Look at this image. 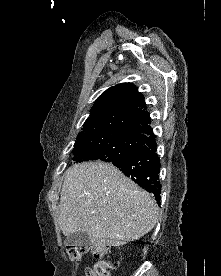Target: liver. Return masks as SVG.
<instances>
[{
	"mask_svg": "<svg viewBox=\"0 0 221 276\" xmlns=\"http://www.w3.org/2000/svg\"><path fill=\"white\" fill-rule=\"evenodd\" d=\"M158 211L152 196L112 164L88 162L67 169L58 220L65 236L84 231L94 247L105 248L150 232Z\"/></svg>",
	"mask_w": 221,
	"mask_h": 276,
	"instance_id": "obj_1",
	"label": "liver"
}]
</instances>
